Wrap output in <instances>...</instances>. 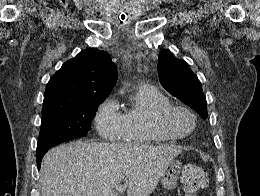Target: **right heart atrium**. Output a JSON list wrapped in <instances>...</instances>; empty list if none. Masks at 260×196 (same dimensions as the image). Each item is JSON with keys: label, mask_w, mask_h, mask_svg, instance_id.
<instances>
[{"label": "right heart atrium", "mask_w": 260, "mask_h": 196, "mask_svg": "<svg viewBox=\"0 0 260 196\" xmlns=\"http://www.w3.org/2000/svg\"><path fill=\"white\" fill-rule=\"evenodd\" d=\"M95 124L100 134V141L98 143H110L109 141L115 135V132L122 128V115L119 112L117 103L111 99L106 98L102 101L95 112ZM144 190H129V192H143Z\"/></svg>", "instance_id": "1"}]
</instances>
